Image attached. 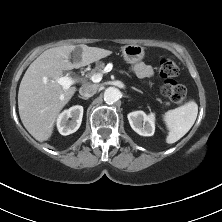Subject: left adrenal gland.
Returning <instances> with one entry per match:
<instances>
[{
	"mask_svg": "<svg viewBox=\"0 0 222 222\" xmlns=\"http://www.w3.org/2000/svg\"><path fill=\"white\" fill-rule=\"evenodd\" d=\"M132 89L135 90V91H137V92H139V93H143L141 90H139V89H137V88H135V87H132Z\"/></svg>",
	"mask_w": 222,
	"mask_h": 222,
	"instance_id": "obj_1",
	"label": "left adrenal gland"
}]
</instances>
